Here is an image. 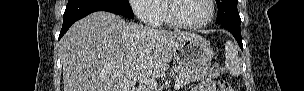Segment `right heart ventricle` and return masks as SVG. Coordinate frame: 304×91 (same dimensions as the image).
I'll list each match as a JSON object with an SVG mask.
<instances>
[{
    "instance_id": "1",
    "label": "right heart ventricle",
    "mask_w": 304,
    "mask_h": 91,
    "mask_svg": "<svg viewBox=\"0 0 304 91\" xmlns=\"http://www.w3.org/2000/svg\"><path fill=\"white\" fill-rule=\"evenodd\" d=\"M166 6H167V0L166 1H161L158 5H157V10L159 12L160 15V19L161 22L165 23V24H170L167 16H166Z\"/></svg>"
}]
</instances>
